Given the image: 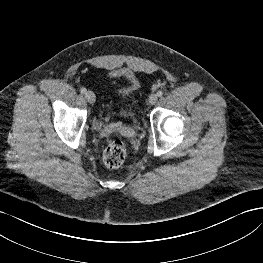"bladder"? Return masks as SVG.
I'll return each mask as SVG.
<instances>
[{"label": "bladder", "mask_w": 263, "mask_h": 263, "mask_svg": "<svg viewBox=\"0 0 263 263\" xmlns=\"http://www.w3.org/2000/svg\"><path fill=\"white\" fill-rule=\"evenodd\" d=\"M139 83L135 77H130L129 83L119 90V94L122 99V105L116 112L122 118L129 119L131 121L136 120L135 110V94L138 90Z\"/></svg>", "instance_id": "1"}]
</instances>
